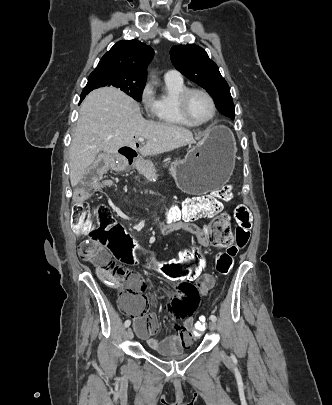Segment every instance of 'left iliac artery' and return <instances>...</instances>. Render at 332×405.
<instances>
[{"mask_svg":"<svg viewBox=\"0 0 332 405\" xmlns=\"http://www.w3.org/2000/svg\"><path fill=\"white\" fill-rule=\"evenodd\" d=\"M210 320L215 322L217 320V317L215 315H210Z\"/></svg>","mask_w":332,"mask_h":405,"instance_id":"44dca946","label":"left iliac artery"}]
</instances>
